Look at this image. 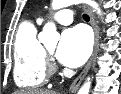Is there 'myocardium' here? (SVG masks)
I'll return each instance as SVG.
<instances>
[{"label":"myocardium","instance_id":"1","mask_svg":"<svg viewBox=\"0 0 121 94\" xmlns=\"http://www.w3.org/2000/svg\"><path fill=\"white\" fill-rule=\"evenodd\" d=\"M45 65H46V74L52 75L56 68L53 63L52 52L49 50L45 51Z\"/></svg>","mask_w":121,"mask_h":94}]
</instances>
